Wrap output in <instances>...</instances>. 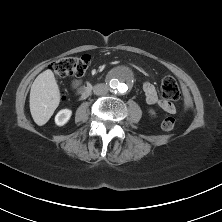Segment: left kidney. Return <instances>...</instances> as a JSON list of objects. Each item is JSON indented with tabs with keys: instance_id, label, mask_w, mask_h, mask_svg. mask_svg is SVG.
<instances>
[{
	"instance_id": "obj_1",
	"label": "left kidney",
	"mask_w": 222,
	"mask_h": 222,
	"mask_svg": "<svg viewBox=\"0 0 222 222\" xmlns=\"http://www.w3.org/2000/svg\"><path fill=\"white\" fill-rule=\"evenodd\" d=\"M150 113H151V114H154V111H153V110H151V111H150Z\"/></svg>"
}]
</instances>
